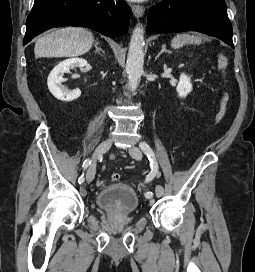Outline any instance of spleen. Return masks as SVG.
Instances as JSON below:
<instances>
[{
	"label": "spleen",
	"instance_id": "obj_1",
	"mask_svg": "<svg viewBox=\"0 0 255 272\" xmlns=\"http://www.w3.org/2000/svg\"><path fill=\"white\" fill-rule=\"evenodd\" d=\"M201 42V37L189 34H179L173 38L171 46L175 49H178L186 44L199 45Z\"/></svg>",
	"mask_w": 255,
	"mask_h": 272
}]
</instances>
